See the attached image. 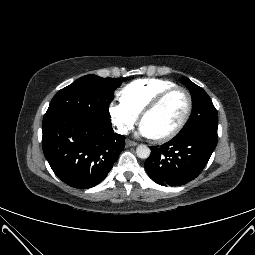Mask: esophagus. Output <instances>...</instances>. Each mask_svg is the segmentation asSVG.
Returning <instances> with one entry per match:
<instances>
[{
	"label": "esophagus",
	"instance_id": "34e87169",
	"mask_svg": "<svg viewBox=\"0 0 255 255\" xmlns=\"http://www.w3.org/2000/svg\"><path fill=\"white\" fill-rule=\"evenodd\" d=\"M125 143H126V146H128V147L136 146V145H137L136 142L131 141V140H129V139H127V140L125 141Z\"/></svg>",
	"mask_w": 255,
	"mask_h": 255
}]
</instances>
